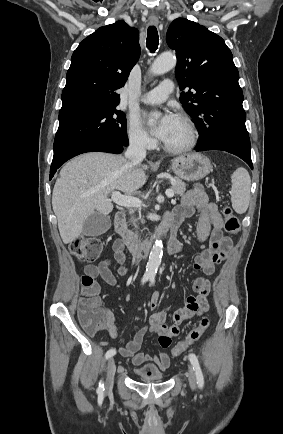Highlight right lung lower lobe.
<instances>
[{
    "label": "right lung lower lobe",
    "instance_id": "1",
    "mask_svg": "<svg viewBox=\"0 0 283 434\" xmlns=\"http://www.w3.org/2000/svg\"><path fill=\"white\" fill-rule=\"evenodd\" d=\"M125 146L107 138H94L76 142L63 150L57 152L53 156L52 165L50 168V179L56 173V170L63 165L67 160L86 152H108L121 153Z\"/></svg>",
    "mask_w": 283,
    "mask_h": 434
}]
</instances>
